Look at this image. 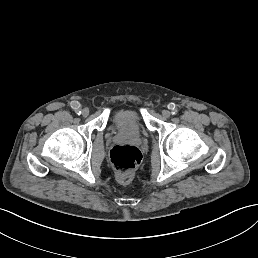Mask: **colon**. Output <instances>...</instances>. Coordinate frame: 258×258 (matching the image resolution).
<instances>
[{"mask_svg":"<svg viewBox=\"0 0 258 258\" xmlns=\"http://www.w3.org/2000/svg\"><path fill=\"white\" fill-rule=\"evenodd\" d=\"M142 159L140 150L132 145L114 146L109 153L110 163L120 182L129 181Z\"/></svg>","mask_w":258,"mask_h":258,"instance_id":"obj_1","label":"colon"}]
</instances>
